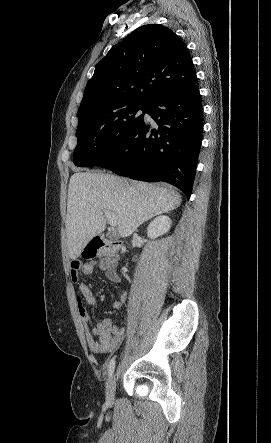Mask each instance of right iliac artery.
Here are the masks:
<instances>
[{
  "label": "right iliac artery",
  "instance_id": "obj_1",
  "mask_svg": "<svg viewBox=\"0 0 271 443\" xmlns=\"http://www.w3.org/2000/svg\"><path fill=\"white\" fill-rule=\"evenodd\" d=\"M115 369V359L112 358L108 364V373L109 375H112V373L114 372Z\"/></svg>",
  "mask_w": 271,
  "mask_h": 443
}]
</instances>
